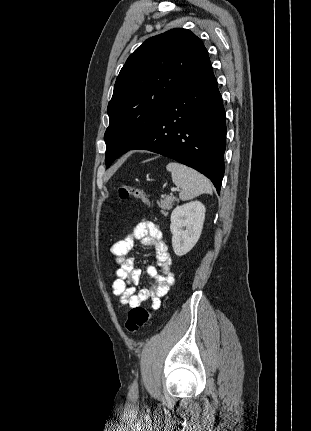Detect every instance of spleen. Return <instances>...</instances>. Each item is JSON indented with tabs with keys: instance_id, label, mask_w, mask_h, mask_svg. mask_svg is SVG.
Listing matches in <instances>:
<instances>
[{
	"instance_id": "spleen-1",
	"label": "spleen",
	"mask_w": 311,
	"mask_h": 431,
	"mask_svg": "<svg viewBox=\"0 0 311 431\" xmlns=\"http://www.w3.org/2000/svg\"><path fill=\"white\" fill-rule=\"evenodd\" d=\"M166 170L171 172V178L173 184L181 188L179 194L180 200L186 202V200H193L197 198L200 194H212V186L202 174L192 170V168H187V166H182V164H177V162H170L166 166Z\"/></svg>"
}]
</instances>
